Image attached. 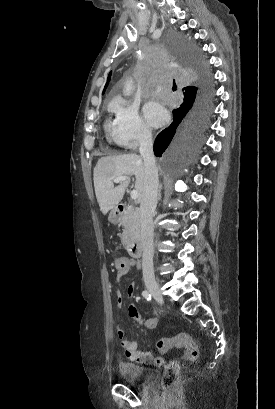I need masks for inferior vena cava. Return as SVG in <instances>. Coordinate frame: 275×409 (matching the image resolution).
Here are the masks:
<instances>
[{"instance_id": "obj_1", "label": "inferior vena cava", "mask_w": 275, "mask_h": 409, "mask_svg": "<svg viewBox=\"0 0 275 409\" xmlns=\"http://www.w3.org/2000/svg\"><path fill=\"white\" fill-rule=\"evenodd\" d=\"M140 154L145 164L143 196L140 202V229L143 249L142 271L143 279L154 281L153 267V215L157 205L158 168L156 166L152 132L141 130L139 136Z\"/></svg>"}]
</instances>
